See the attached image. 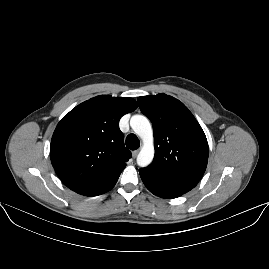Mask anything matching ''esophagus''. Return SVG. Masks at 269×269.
I'll return each mask as SVG.
<instances>
[{
	"label": "esophagus",
	"mask_w": 269,
	"mask_h": 269,
	"mask_svg": "<svg viewBox=\"0 0 269 269\" xmlns=\"http://www.w3.org/2000/svg\"><path fill=\"white\" fill-rule=\"evenodd\" d=\"M139 153V150L132 151V157L135 159Z\"/></svg>",
	"instance_id": "1"
}]
</instances>
